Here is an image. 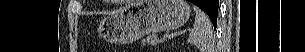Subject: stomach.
Listing matches in <instances>:
<instances>
[{"mask_svg": "<svg viewBox=\"0 0 305 52\" xmlns=\"http://www.w3.org/2000/svg\"><path fill=\"white\" fill-rule=\"evenodd\" d=\"M185 0H137L105 18L98 34L111 43H130L148 33L178 29L190 16Z\"/></svg>", "mask_w": 305, "mask_h": 52, "instance_id": "1", "label": "stomach"}]
</instances>
